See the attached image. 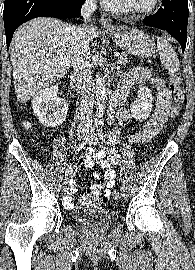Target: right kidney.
I'll return each mask as SVG.
<instances>
[{
	"label": "right kidney",
	"mask_w": 195,
	"mask_h": 270,
	"mask_svg": "<svg viewBox=\"0 0 195 270\" xmlns=\"http://www.w3.org/2000/svg\"><path fill=\"white\" fill-rule=\"evenodd\" d=\"M57 93L58 86L54 85L41 90L31 101L33 112L46 127H56L66 119L68 104Z\"/></svg>",
	"instance_id": "right-kidney-1"
}]
</instances>
